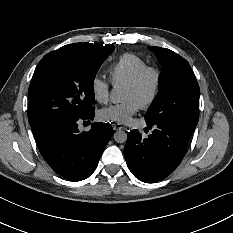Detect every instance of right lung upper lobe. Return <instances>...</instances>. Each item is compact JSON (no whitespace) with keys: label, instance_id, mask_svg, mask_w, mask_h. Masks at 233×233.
<instances>
[{"label":"right lung upper lobe","instance_id":"obj_1","mask_svg":"<svg viewBox=\"0 0 233 233\" xmlns=\"http://www.w3.org/2000/svg\"><path fill=\"white\" fill-rule=\"evenodd\" d=\"M70 45H75V46H79L91 51H95V52H107V51H111L112 49L114 50V46L112 44H106L105 46L103 45H99V44H92V43H75V44H70Z\"/></svg>","mask_w":233,"mask_h":233}]
</instances>
